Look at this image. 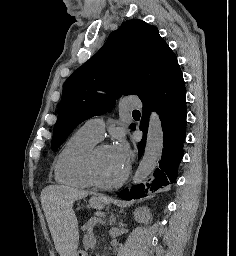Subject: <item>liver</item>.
I'll use <instances>...</instances> for the list:
<instances>
[{"label":"liver","instance_id":"liver-1","mask_svg":"<svg viewBox=\"0 0 236 256\" xmlns=\"http://www.w3.org/2000/svg\"><path fill=\"white\" fill-rule=\"evenodd\" d=\"M86 196L88 192L68 186H47L41 192L43 212L60 256L76 254L79 230L73 204Z\"/></svg>","mask_w":236,"mask_h":256}]
</instances>
